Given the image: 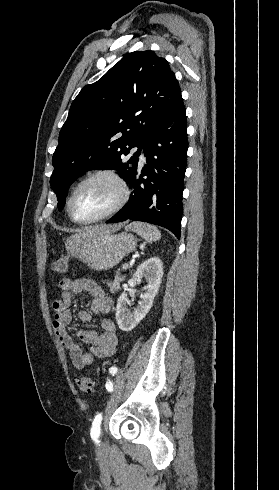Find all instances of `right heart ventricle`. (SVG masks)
Here are the masks:
<instances>
[{
  "mask_svg": "<svg viewBox=\"0 0 279 490\" xmlns=\"http://www.w3.org/2000/svg\"><path fill=\"white\" fill-rule=\"evenodd\" d=\"M67 213H69V211H68V203H67Z\"/></svg>",
  "mask_w": 279,
  "mask_h": 490,
  "instance_id": "obj_1",
  "label": "right heart ventricle"
}]
</instances>
